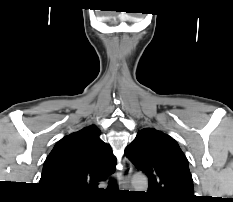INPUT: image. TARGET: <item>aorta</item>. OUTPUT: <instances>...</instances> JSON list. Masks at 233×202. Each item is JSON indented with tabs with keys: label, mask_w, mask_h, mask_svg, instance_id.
I'll return each mask as SVG.
<instances>
[{
	"label": "aorta",
	"mask_w": 233,
	"mask_h": 202,
	"mask_svg": "<svg viewBox=\"0 0 233 202\" xmlns=\"http://www.w3.org/2000/svg\"><path fill=\"white\" fill-rule=\"evenodd\" d=\"M132 184L135 189L146 190L148 187V181L144 176H135L132 180Z\"/></svg>",
	"instance_id": "1"
}]
</instances>
